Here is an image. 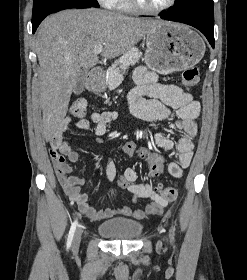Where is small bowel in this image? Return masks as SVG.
Returning <instances> with one entry per match:
<instances>
[{
  "label": "small bowel",
  "instance_id": "1",
  "mask_svg": "<svg viewBox=\"0 0 247 280\" xmlns=\"http://www.w3.org/2000/svg\"><path fill=\"white\" fill-rule=\"evenodd\" d=\"M134 80L136 86L129 92L128 101L131 113L135 117L155 123L168 118L172 109L176 111L178 120L174 125L184 135L176 145L160 133L154 135V140L157 146L175 151L177 160L169 163L168 172L175 178H181L184 169L190 165L193 157V139L197 134L196 118L200 112V104L191 94L184 92L180 87L159 82L157 75L144 67H138L135 70ZM117 117L118 114L115 111L94 112L88 119H80L73 123L72 118L67 116L53 132L50 138V148L66 157L70 162H77L82 158L81 153L73 150L63 138L68 127L74 124L78 129H88L94 125L95 134L104 136L108 125ZM105 176L108 181L115 179L116 167L112 162L106 164ZM122 176H126L130 181L128 191L132 194L134 203L139 199L151 201L144 209H133L131 206L96 209L88 202L87 194L81 191L85 183L84 179L71 175H58V178L68 198L78 206L81 213L92 221L109 219L114 216H132L142 219L147 215L161 213L168 201L157 193L150 183H138L137 174L133 169H127Z\"/></svg>",
  "mask_w": 247,
  "mask_h": 280
}]
</instances>
